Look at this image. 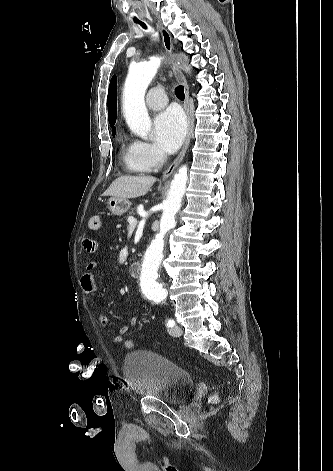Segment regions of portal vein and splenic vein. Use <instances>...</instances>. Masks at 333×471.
<instances>
[{
	"instance_id": "obj_1",
	"label": "portal vein and splenic vein",
	"mask_w": 333,
	"mask_h": 471,
	"mask_svg": "<svg viewBox=\"0 0 333 471\" xmlns=\"http://www.w3.org/2000/svg\"><path fill=\"white\" fill-rule=\"evenodd\" d=\"M127 221L130 225H136L137 224V220L132 216H130Z\"/></svg>"
}]
</instances>
